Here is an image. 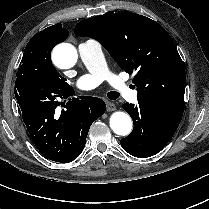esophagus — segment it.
<instances>
[{"mask_svg":"<svg viewBox=\"0 0 209 209\" xmlns=\"http://www.w3.org/2000/svg\"><path fill=\"white\" fill-rule=\"evenodd\" d=\"M106 104H107V111H114L116 109V106L114 103L110 101H106Z\"/></svg>","mask_w":209,"mask_h":209,"instance_id":"esophagus-1","label":"esophagus"}]
</instances>
